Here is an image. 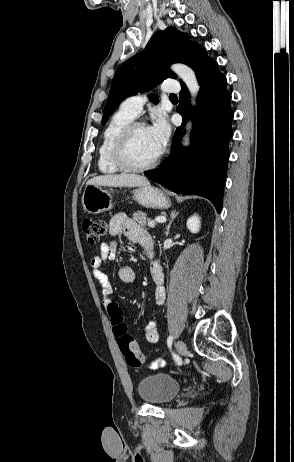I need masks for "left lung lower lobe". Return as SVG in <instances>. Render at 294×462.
Listing matches in <instances>:
<instances>
[{
    "label": "left lung lower lobe",
    "mask_w": 294,
    "mask_h": 462,
    "mask_svg": "<svg viewBox=\"0 0 294 462\" xmlns=\"http://www.w3.org/2000/svg\"><path fill=\"white\" fill-rule=\"evenodd\" d=\"M196 76L201 86L198 105L192 114L188 89L181 83L177 111L183 122L175 132L172 151L160 167L145 175L173 192L208 198L220 213L229 159L228 142L233 136L231 95L226 88V77L218 70L216 61L209 60L198 69ZM191 117L194 122L192 144L183 149L181 130Z\"/></svg>",
    "instance_id": "left-lung-lower-lobe-1"
}]
</instances>
